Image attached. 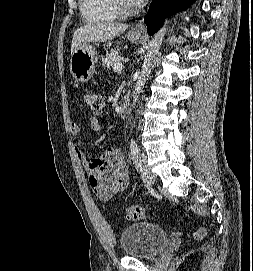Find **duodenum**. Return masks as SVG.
Here are the masks:
<instances>
[{
	"label": "duodenum",
	"instance_id": "1",
	"mask_svg": "<svg viewBox=\"0 0 253 271\" xmlns=\"http://www.w3.org/2000/svg\"><path fill=\"white\" fill-rule=\"evenodd\" d=\"M128 110H129V101L125 100L120 106L119 116L122 118L125 117L128 114Z\"/></svg>",
	"mask_w": 253,
	"mask_h": 271
}]
</instances>
